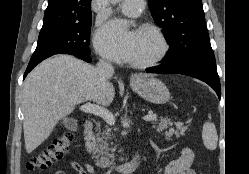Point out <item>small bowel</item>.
Instances as JSON below:
<instances>
[{"instance_id": "1", "label": "small bowel", "mask_w": 249, "mask_h": 174, "mask_svg": "<svg viewBox=\"0 0 249 174\" xmlns=\"http://www.w3.org/2000/svg\"><path fill=\"white\" fill-rule=\"evenodd\" d=\"M194 160V155L189 148H182L181 154L178 159L171 161L167 166L163 167L159 164L156 165L159 174H196L195 170L192 168V163ZM70 167L78 172V174H87L85 168L88 172L92 173L93 169L88 164H85V168L76 161L70 162ZM54 174H66L62 170L55 171Z\"/></svg>"}]
</instances>
